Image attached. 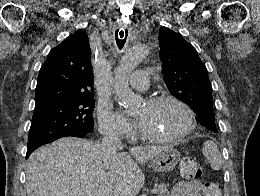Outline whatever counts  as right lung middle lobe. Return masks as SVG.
I'll use <instances>...</instances> for the list:
<instances>
[{
    "label": "right lung middle lobe",
    "mask_w": 260,
    "mask_h": 196,
    "mask_svg": "<svg viewBox=\"0 0 260 196\" xmlns=\"http://www.w3.org/2000/svg\"><path fill=\"white\" fill-rule=\"evenodd\" d=\"M94 93L59 96L35 106L28 137V150L61 137L93 131Z\"/></svg>",
    "instance_id": "right-lung-middle-lobe-1"
}]
</instances>
